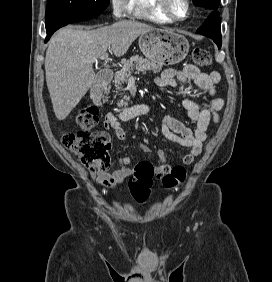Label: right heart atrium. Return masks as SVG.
Here are the masks:
<instances>
[{"label":"right heart atrium","mask_w":272,"mask_h":282,"mask_svg":"<svg viewBox=\"0 0 272 282\" xmlns=\"http://www.w3.org/2000/svg\"><path fill=\"white\" fill-rule=\"evenodd\" d=\"M110 10L114 19L119 20L133 13L129 0H110Z\"/></svg>","instance_id":"1"}]
</instances>
